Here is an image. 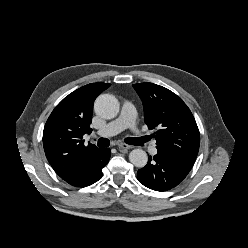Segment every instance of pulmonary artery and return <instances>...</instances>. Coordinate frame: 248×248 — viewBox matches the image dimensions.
Wrapping results in <instances>:
<instances>
[{"label":"pulmonary artery","mask_w":248,"mask_h":248,"mask_svg":"<svg viewBox=\"0 0 248 248\" xmlns=\"http://www.w3.org/2000/svg\"><path fill=\"white\" fill-rule=\"evenodd\" d=\"M126 128H131L136 134L139 133V129L136 126V108L130 101H124L120 116L117 119L99 128L96 132V135L109 137L118 134ZM149 151L151 154L157 153L155 143H152L150 145Z\"/></svg>","instance_id":"pulmonary-artery-1"}]
</instances>
